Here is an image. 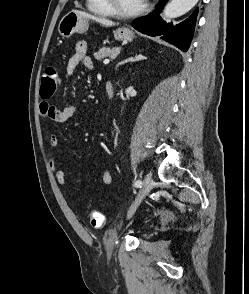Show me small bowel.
I'll list each match as a JSON object with an SVG mask.
<instances>
[{
	"instance_id": "obj_1",
	"label": "small bowel",
	"mask_w": 249,
	"mask_h": 294,
	"mask_svg": "<svg viewBox=\"0 0 249 294\" xmlns=\"http://www.w3.org/2000/svg\"><path fill=\"white\" fill-rule=\"evenodd\" d=\"M88 44L85 41H79L74 49L73 54L68 60L67 74L72 75L78 65H82L85 69L91 70L93 68L92 59L88 56ZM40 115L49 123H63L68 119L74 117L78 113L75 106H66L62 109L56 107L49 102L40 103ZM48 144L51 148L50 167L58 184L66 187L67 180L63 170L59 169L55 161V153L58 147V139L55 134L49 133L47 138ZM103 186H110L112 184V175L108 169L104 168L102 171Z\"/></svg>"
}]
</instances>
